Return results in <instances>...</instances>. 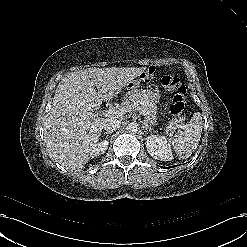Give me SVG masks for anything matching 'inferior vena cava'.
<instances>
[{
  "label": "inferior vena cava",
  "instance_id": "obj_1",
  "mask_svg": "<svg viewBox=\"0 0 247 247\" xmlns=\"http://www.w3.org/2000/svg\"><path fill=\"white\" fill-rule=\"evenodd\" d=\"M121 126V121L116 119V118H113V119H108L103 128L105 131H107L108 133H112L114 132L115 130H117L118 128H120Z\"/></svg>",
  "mask_w": 247,
  "mask_h": 247
}]
</instances>
